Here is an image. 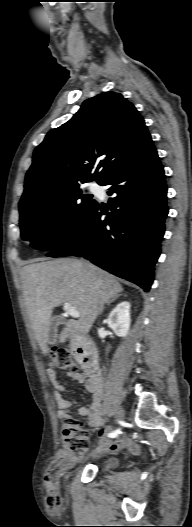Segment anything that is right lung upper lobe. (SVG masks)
Listing matches in <instances>:
<instances>
[{"instance_id":"cb5924a9","label":"right lung upper lobe","mask_w":192,"mask_h":527,"mask_svg":"<svg viewBox=\"0 0 192 527\" xmlns=\"http://www.w3.org/2000/svg\"><path fill=\"white\" fill-rule=\"evenodd\" d=\"M150 140L143 117L120 93L104 92L84 101L34 150L19 206L47 201L92 180L101 185Z\"/></svg>"}]
</instances>
